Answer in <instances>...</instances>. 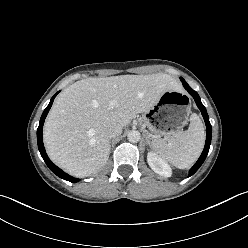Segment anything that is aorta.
Segmentation results:
<instances>
[{"label":"aorta","mask_w":248,"mask_h":248,"mask_svg":"<svg viewBox=\"0 0 248 248\" xmlns=\"http://www.w3.org/2000/svg\"><path fill=\"white\" fill-rule=\"evenodd\" d=\"M128 140L132 143H137L139 142L140 138H141V134L139 131L136 130H132L128 133Z\"/></svg>","instance_id":"762f6f07"}]
</instances>
